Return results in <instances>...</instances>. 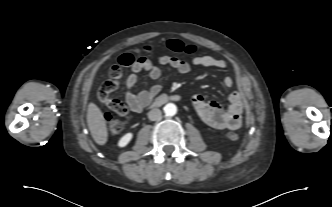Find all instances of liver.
<instances>
[{"label":"liver","instance_id":"liver-1","mask_svg":"<svg viewBox=\"0 0 332 207\" xmlns=\"http://www.w3.org/2000/svg\"><path fill=\"white\" fill-rule=\"evenodd\" d=\"M87 124L94 141L104 145L108 140L106 121L100 108L93 102L88 105Z\"/></svg>","mask_w":332,"mask_h":207}]
</instances>
